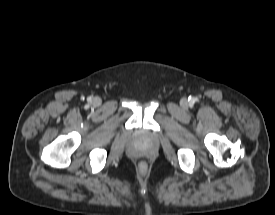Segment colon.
<instances>
[{"label":"colon","instance_id":"1","mask_svg":"<svg viewBox=\"0 0 275 215\" xmlns=\"http://www.w3.org/2000/svg\"><path fill=\"white\" fill-rule=\"evenodd\" d=\"M146 164L144 162L140 163L139 168L140 170H146Z\"/></svg>","mask_w":275,"mask_h":215}]
</instances>
